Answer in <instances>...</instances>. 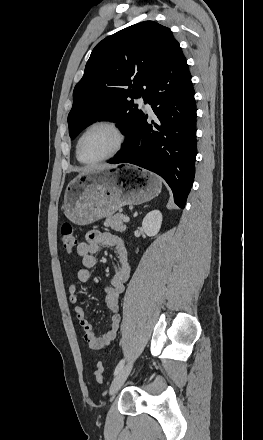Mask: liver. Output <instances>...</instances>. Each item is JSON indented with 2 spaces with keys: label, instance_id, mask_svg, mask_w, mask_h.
I'll list each match as a JSON object with an SVG mask.
<instances>
[{
  "label": "liver",
  "instance_id": "6515ba94",
  "mask_svg": "<svg viewBox=\"0 0 263 440\" xmlns=\"http://www.w3.org/2000/svg\"><path fill=\"white\" fill-rule=\"evenodd\" d=\"M105 168L111 169V168H113V166L105 164V165L97 167V169H105Z\"/></svg>",
  "mask_w": 263,
  "mask_h": 440
}]
</instances>
